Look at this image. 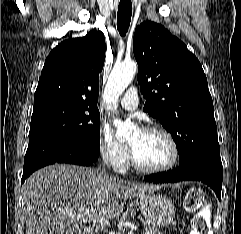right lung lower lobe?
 <instances>
[{"label":"right lung lower lobe","instance_id":"1","mask_svg":"<svg viewBox=\"0 0 241 234\" xmlns=\"http://www.w3.org/2000/svg\"><path fill=\"white\" fill-rule=\"evenodd\" d=\"M98 156L65 138L48 137L31 141L24 158L21 184L30 174L46 165L70 163L90 166L97 161Z\"/></svg>","mask_w":241,"mask_h":234}]
</instances>
